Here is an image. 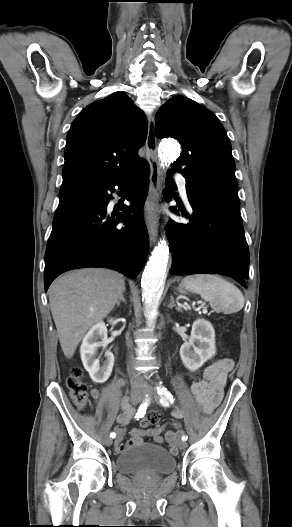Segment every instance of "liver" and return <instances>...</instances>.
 Listing matches in <instances>:
<instances>
[{"mask_svg":"<svg viewBox=\"0 0 292 527\" xmlns=\"http://www.w3.org/2000/svg\"><path fill=\"white\" fill-rule=\"evenodd\" d=\"M125 291L120 273L101 268L71 271L49 287V303L64 355L71 358L81 339L103 320Z\"/></svg>","mask_w":292,"mask_h":527,"instance_id":"liver-1","label":"liver"}]
</instances>
